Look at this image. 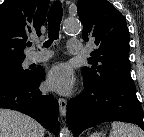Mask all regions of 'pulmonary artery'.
Here are the masks:
<instances>
[{
    "label": "pulmonary artery",
    "mask_w": 144,
    "mask_h": 137,
    "mask_svg": "<svg viewBox=\"0 0 144 137\" xmlns=\"http://www.w3.org/2000/svg\"><path fill=\"white\" fill-rule=\"evenodd\" d=\"M68 51L71 54H79L82 51V43L76 39H70L67 44ZM52 56L50 51L33 52L28 56V61L30 63L44 62Z\"/></svg>",
    "instance_id": "pulmonary-artery-1"
}]
</instances>
